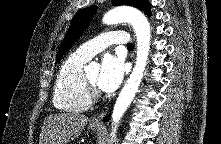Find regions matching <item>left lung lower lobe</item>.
Masks as SVG:
<instances>
[{"instance_id":"1","label":"left lung lower lobe","mask_w":221,"mask_h":144,"mask_svg":"<svg viewBox=\"0 0 221 144\" xmlns=\"http://www.w3.org/2000/svg\"><path fill=\"white\" fill-rule=\"evenodd\" d=\"M109 119V116L104 117V121H107Z\"/></svg>"}]
</instances>
